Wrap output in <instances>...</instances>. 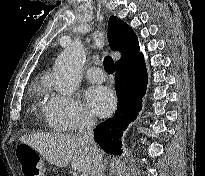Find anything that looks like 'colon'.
I'll use <instances>...</instances> for the list:
<instances>
[{"label": "colon", "instance_id": "5ec220e1", "mask_svg": "<svg viewBox=\"0 0 205 176\" xmlns=\"http://www.w3.org/2000/svg\"><path fill=\"white\" fill-rule=\"evenodd\" d=\"M16 156L21 165L24 176L43 175V160L37 152L33 150H17Z\"/></svg>", "mask_w": 205, "mask_h": 176}]
</instances>
